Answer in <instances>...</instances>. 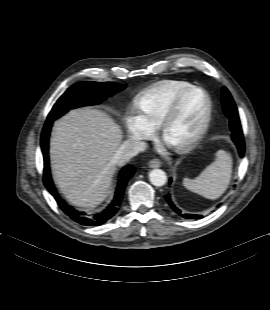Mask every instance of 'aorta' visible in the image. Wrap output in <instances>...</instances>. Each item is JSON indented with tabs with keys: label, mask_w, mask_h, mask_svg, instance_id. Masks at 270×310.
Wrapping results in <instances>:
<instances>
[{
	"label": "aorta",
	"mask_w": 270,
	"mask_h": 310,
	"mask_svg": "<svg viewBox=\"0 0 270 310\" xmlns=\"http://www.w3.org/2000/svg\"><path fill=\"white\" fill-rule=\"evenodd\" d=\"M149 180L154 186L161 187L166 184L167 176L163 170L153 169L149 173Z\"/></svg>",
	"instance_id": "1"
}]
</instances>
